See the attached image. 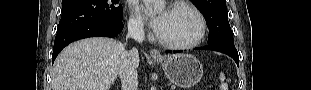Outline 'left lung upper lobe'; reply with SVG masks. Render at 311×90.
Masks as SVG:
<instances>
[{"label": "left lung upper lobe", "instance_id": "1", "mask_svg": "<svg viewBox=\"0 0 311 90\" xmlns=\"http://www.w3.org/2000/svg\"><path fill=\"white\" fill-rule=\"evenodd\" d=\"M210 30L208 45L235 49L233 34L226 12V0H194Z\"/></svg>", "mask_w": 311, "mask_h": 90}]
</instances>
